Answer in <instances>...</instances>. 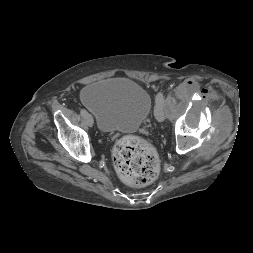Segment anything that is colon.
Listing matches in <instances>:
<instances>
[{
	"instance_id": "1",
	"label": "colon",
	"mask_w": 253,
	"mask_h": 253,
	"mask_svg": "<svg viewBox=\"0 0 253 253\" xmlns=\"http://www.w3.org/2000/svg\"><path fill=\"white\" fill-rule=\"evenodd\" d=\"M113 162L119 178L130 186L148 185L159 174V160L155 148L137 136L124 137L116 143Z\"/></svg>"
}]
</instances>
